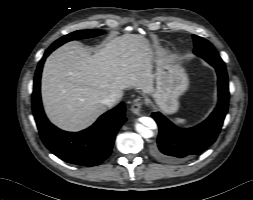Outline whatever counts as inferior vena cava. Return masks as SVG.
Returning <instances> with one entry per match:
<instances>
[{"label": "inferior vena cava", "mask_w": 253, "mask_h": 200, "mask_svg": "<svg viewBox=\"0 0 253 200\" xmlns=\"http://www.w3.org/2000/svg\"><path fill=\"white\" fill-rule=\"evenodd\" d=\"M120 99L121 94L111 93L104 98L103 103L108 107H112L116 105L120 101Z\"/></svg>", "instance_id": "1"}]
</instances>
